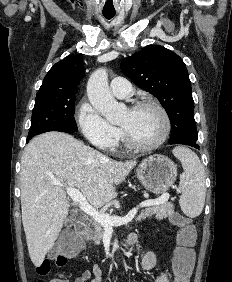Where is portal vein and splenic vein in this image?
Listing matches in <instances>:
<instances>
[{"instance_id": "18ae733b", "label": "portal vein and splenic vein", "mask_w": 232, "mask_h": 282, "mask_svg": "<svg viewBox=\"0 0 232 282\" xmlns=\"http://www.w3.org/2000/svg\"><path fill=\"white\" fill-rule=\"evenodd\" d=\"M60 186L64 187L63 185L59 184ZM67 194L69 197L79 205L80 209L92 217L95 221L101 223L104 227H113V226H120L127 224L130 222L135 215L138 212L139 208H144V207H151L155 205H161L165 202L168 201L169 199V193H164L157 199H150V200H145L139 204L136 208L132 209L127 215L124 217H119V216H111L106 213H101L99 212L96 208L91 206L86 198L83 196V194L75 188L71 187H65Z\"/></svg>"}]
</instances>
